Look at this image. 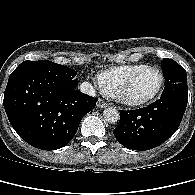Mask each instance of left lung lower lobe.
<instances>
[{
    "instance_id": "1",
    "label": "left lung lower lobe",
    "mask_w": 195,
    "mask_h": 195,
    "mask_svg": "<svg viewBox=\"0 0 195 195\" xmlns=\"http://www.w3.org/2000/svg\"><path fill=\"white\" fill-rule=\"evenodd\" d=\"M188 102L187 82L165 85L160 99L137 110L120 111L114 136L124 147L145 151L165 142L179 127Z\"/></svg>"
}]
</instances>
